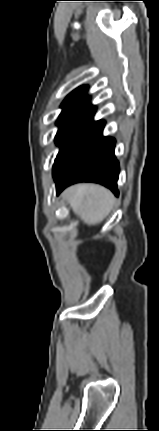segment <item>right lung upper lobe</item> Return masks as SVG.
I'll use <instances>...</instances> for the list:
<instances>
[{"label":"right lung upper lobe","instance_id":"1","mask_svg":"<svg viewBox=\"0 0 159 431\" xmlns=\"http://www.w3.org/2000/svg\"><path fill=\"white\" fill-rule=\"evenodd\" d=\"M87 91L88 86H81L71 92L61 105L59 118L82 120L86 123L93 121L96 108L90 104Z\"/></svg>","mask_w":159,"mask_h":431}]
</instances>
